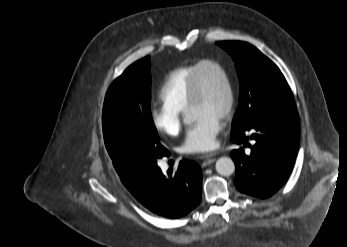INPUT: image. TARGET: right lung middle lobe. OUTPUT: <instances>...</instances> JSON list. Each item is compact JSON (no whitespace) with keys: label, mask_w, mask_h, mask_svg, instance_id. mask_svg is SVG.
<instances>
[{"label":"right lung middle lobe","mask_w":347,"mask_h":247,"mask_svg":"<svg viewBox=\"0 0 347 247\" xmlns=\"http://www.w3.org/2000/svg\"><path fill=\"white\" fill-rule=\"evenodd\" d=\"M150 58L129 66L110 86L102 122L107 151L118 173L133 163L166 154L150 112Z\"/></svg>","instance_id":"right-lung-middle-lobe-1"}]
</instances>
